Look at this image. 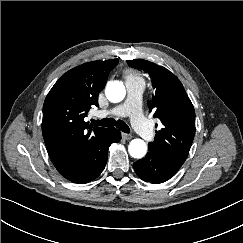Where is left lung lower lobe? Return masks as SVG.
I'll return each instance as SVG.
<instances>
[{
    "label": "left lung lower lobe",
    "instance_id": "1",
    "mask_svg": "<svg viewBox=\"0 0 243 243\" xmlns=\"http://www.w3.org/2000/svg\"><path fill=\"white\" fill-rule=\"evenodd\" d=\"M181 166L165 154L149 148L146 157L134 163V170L142 180L157 184L169 180Z\"/></svg>",
    "mask_w": 243,
    "mask_h": 243
}]
</instances>
